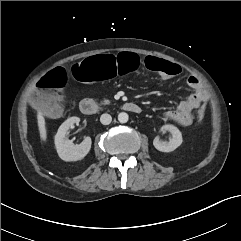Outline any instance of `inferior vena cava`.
Listing matches in <instances>:
<instances>
[{"instance_id":"1","label":"inferior vena cava","mask_w":241,"mask_h":241,"mask_svg":"<svg viewBox=\"0 0 241 241\" xmlns=\"http://www.w3.org/2000/svg\"><path fill=\"white\" fill-rule=\"evenodd\" d=\"M112 121V117L110 114H102L101 117H100V122L103 124V125H108L110 124Z\"/></svg>"}]
</instances>
